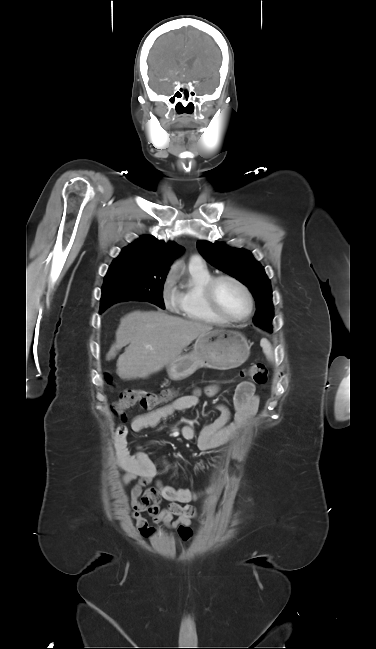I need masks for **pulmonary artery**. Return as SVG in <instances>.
Wrapping results in <instances>:
<instances>
[{
    "label": "pulmonary artery",
    "instance_id": "pulmonary-artery-1",
    "mask_svg": "<svg viewBox=\"0 0 376 649\" xmlns=\"http://www.w3.org/2000/svg\"><path fill=\"white\" fill-rule=\"evenodd\" d=\"M190 263H203V260L199 255H193L191 257Z\"/></svg>",
    "mask_w": 376,
    "mask_h": 649
}]
</instances>
